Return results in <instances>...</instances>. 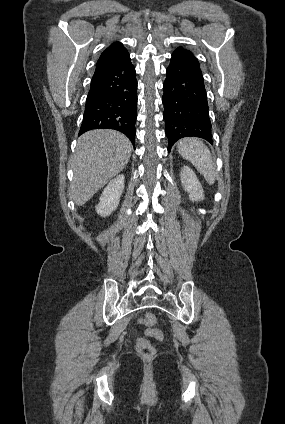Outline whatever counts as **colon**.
<instances>
[{"label":"colon","instance_id":"obj_1","mask_svg":"<svg viewBox=\"0 0 285 424\" xmlns=\"http://www.w3.org/2000/svg\"><path fill=\"white\" fill-rule=\"evenodd\" d=\"M155 322H156V318L153 314H147L141 319V323L144 326H147V327H152L155 324ZM150 330L153 332V335L156 338L162 339V334L159 331L152 330V329H150ZM136 348H137L138 353L142 357H145V358L153 357L155 355V352H156V349H155V346L153 345V343L151 341H149L148 339L143 338V337H141L137 340Z\"/></svg>","mask_w":285,"mask_h":424}]
</instances>
